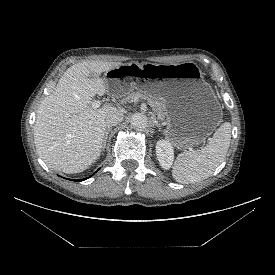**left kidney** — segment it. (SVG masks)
<instances>
[{
    "label": "left kidney",
    "mask_w": 275,
    "mask_h": 275,
    "mask_svg": "<svg viewBox=\"0 0 275 275\" xmlns=\"http://www.w3.org/2000/svg\"><path fill=\"white\" fill-rule=\"evenodd\" d=\"M156 155L160 166L166 170L170 169L174 160V151L171 144L166 140H159L156 143Z\"/></svg>",
    "instance_id": "left-kidney-1"
}]
</instances>
